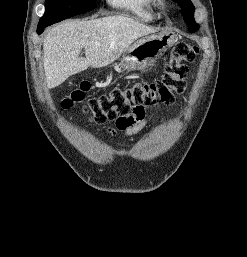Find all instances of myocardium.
Wrapping results in <instances>:
<instances>
[{"mask_svg": "<svg viewBox=\"0 0 247 257\" xmlns=\"http://www.w3.org/2000/svg\"><path fill=\"white\" fill-rule=\"evenodd\" d=\"M155 2H156L157 8H159V9H164L165 8L164 0H155Z\"/></svg>", "mask_w": 247, "mask_h": 257, "instance_id": "myocardium-1", "label": "myocardium"}]
</instances>
